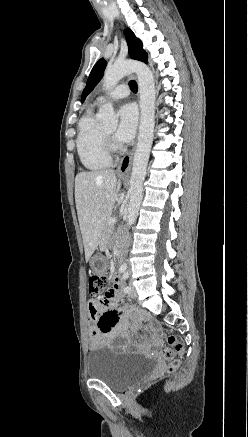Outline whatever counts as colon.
Listing matches in <instances>:
<instances>
[{
    "label": "colon",
    "mask_w": 248,
    "mask_h": 437,
    "mask_svg": "<svg viewBox=\"0 0 248 437\" xmlns=\"http://www.w3.org/2000/svg\"><path fill=\"white\" fill-rule=\"evenodd\" d=\"M110 279L104 275L94 274L89 278V294L94 299H100L110 290ZM167 346L162 350V356L168 362L167 372L173 373L180 366L178 356L184 351L182 342L174 335L166 337Z\"/></svg>",
    "instance_id": "1"
}]
</instances>
